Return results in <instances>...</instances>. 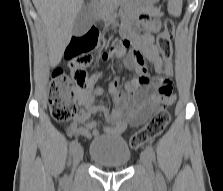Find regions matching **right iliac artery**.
Masks as SVG:
<instances>
[{"label":"right iliac artery","instance_id":"right-iliac-artery-1","mask_svg":"<svg viewBox=\"0 0 223 191\" xmlns=\"http://www.w3.org/2000/svg\"><path fill=\"white\" fill-rule=\"evenodd\" d=\"M77 146H78V141L77 140H73L70 143V152H73Z\"/></svg>","mask_w":223,"mask_h":191}]
</instances>
